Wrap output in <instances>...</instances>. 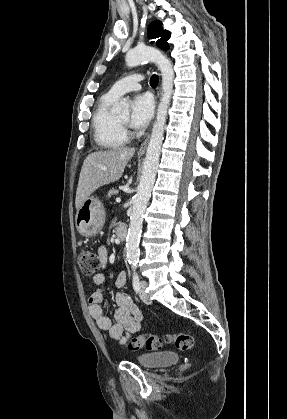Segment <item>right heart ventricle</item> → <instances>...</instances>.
Returning a JSON list of instances; mask_svg holds the SVG:
<instances>
[{
    "instance_id": "obj_1",
    "label": "right heart ventricle",
    "mask_w": 287,
    "mask_h": 419,
    "mask_svg": "<svg viewBox=\"0 0 287 419\" xmlns=\"http://www.w3.org/2000/svg\"><path fill=\"white\" fill-rule=\"evenodd\" d=\"M117 98L108 93L102 95L92 116L93 136L96 144L105 149L118 148L127 142V137L111 111Z\"/></svg>"
}]
</instances>
